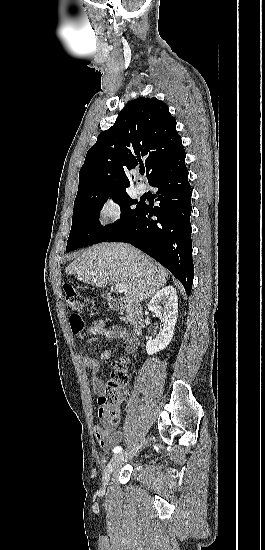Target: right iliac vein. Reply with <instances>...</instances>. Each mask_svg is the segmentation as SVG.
<instances>
[{"instance_id": "right-iliac-vein-1", "label": "right iliac vein", "mask_w": 265, "mask_h": 550, "mask_svg": "<svg viewBox=\"0 0 265 550\" xmlns=\"http://www.w3.org/2000/svg\"><path fill=\"white\" fill-rule=\"evenodd\" d=\"M132 456H133V451H130L124 454L121 453V454L115 455L109 462L108 466L105 468V471L103 474L104 484L108 483L110 475L119 466V464L122 463L123 461H126L128 458H131Z\"/></svg>"}]
</instances>
